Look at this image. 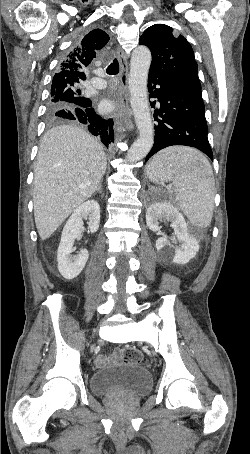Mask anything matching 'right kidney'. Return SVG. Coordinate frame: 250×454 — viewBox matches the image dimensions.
Instances as JSON below:
<instances>
[{
  "label": "right kidney",
  "mask_w": 250,
  "mask_h": 454,
  "mask_svg": "<svg viewBox=\"0 0 250 454\" xmlns=\"http://www.w3.org/2000/svg\"><path fill=\"white\" fill-rule=\"evenodd\" d=\"M83 218H88V226L92 233L99 228L100 206L96 200H88L78 206L65 224L57 251L58 270L65 279L77 277L86 265L89 253L86 249L78 255L71 256L75 239L83 228Z\"/></svg>",
  "instance_id": "right-kidney-1"
}]
</instances>
